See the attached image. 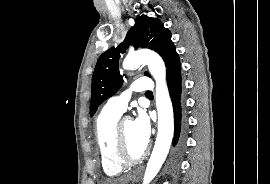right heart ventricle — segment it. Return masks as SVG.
<instances>
[{
    "label": "right heart ventricle",
    "instance_id": "1",
    "mask_svg": "<svg viewBox=\"0 0 270 184\" xmlns=\"http://www.w3.org/2000/svg\"><path fill=\"white\" fill-rule=\"evenodd\" d=\"M120 116V113L105 106L96 120L95 135L101 166L108 176L120 174L125 167L116 161L114 154L115 127Z\"/></svg>",
    "mask_w": 270,
    "mask_h": 184
}]
</instances>
